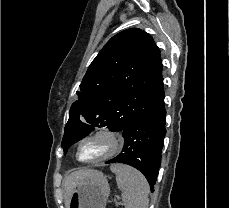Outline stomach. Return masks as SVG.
I'll return each mask as SVG.
<instances>
[{"label": "stomach", "instance_id": "stomach-1", "mask_svg": "<svg viewBox=\"0 0 229 208\" xmlns=\"http://www.w3.org/2000/svg\"><path fill=\"white\" fill-rule=\"evenodd\" d=\"M110 188L106 176L84 180L75 186L68 208H105Z\"/></svg>", "mask_w": 229, "mask_h": 208}]
</instances>
